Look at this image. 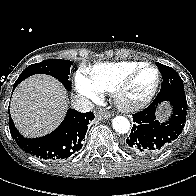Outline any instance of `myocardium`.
I'll return each mask as SVG.
<instances>
[{
	"instance_id": "myocardium-1",
	"label": "myocardium",
	"mask_w": 196,
	"mask_h": 196,
	"mask_svg": "<svg viewBox=\"0 0 196 196\" xmlns=\"http://www.w3.org/2000/svg\"><path fill=\"white\" fill-rule=\"evenodd\" d=\"M145 69H152L156 72L157 77L154 86L144 98L137 101L128 100L126 98L127 90L130 88V86L139 76V74ZM160 84L161 73L159 69L155 65L144 63L141 66L134 69L133 71H131L120 81V83L112 91L113 99L120 109L125 111H137L144 108L152 101V99L154 98L159 89Z\"/></svg>"
}]
</instances>
